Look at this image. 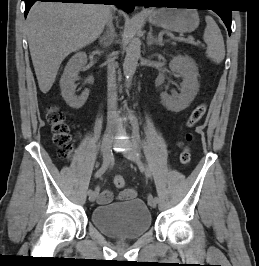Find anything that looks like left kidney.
<instances>
[{
	"label": "left kidney",
	"instance_id": "left-kidney-1",
	"mask_svg": "<svg viewBox=\"0 0 259 266\" xmlns=\"http://www.w3.org/2000/svg\"><path fill=\"white\" fill-rule=\"evenodd\" d=\"M169 67L175 76L183 78V82L180 94L162 92L161 100L168 110L180 112L190 105L199 91L198 68L191 57L182 55L173 57Z\"/></svg>",
	"mask_w": 259,
	"mask_h": 266
}]
</instances>
